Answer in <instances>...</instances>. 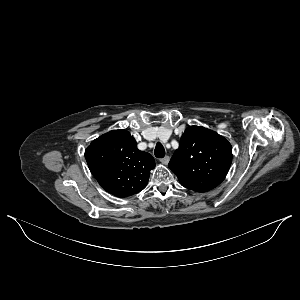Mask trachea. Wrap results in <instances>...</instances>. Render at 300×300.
<instances>
[{
	"label": "trachea",
	"mask_w": 300,
	"mask_h": 300,
	"mask_svg": "<svg viewBox=\"0 0 300 300\" xmlns=\"http://www.w3.org/2000/svg\"><path fill=\"white\" fill-rule=\"evenodd\" d=\"M154 154L157 158H163L165 156V149L161 143H157Z\"/></svg>",
	"instance_id": "1"
}]
</instances>
